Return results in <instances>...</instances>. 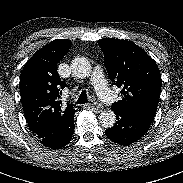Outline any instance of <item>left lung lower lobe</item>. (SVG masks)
<instances>
[{
  "label": "left lung lower lobe",
  "instance_id": "obj_1",
  "mask_svg": "<svg viewBox=\"0 0 183 183\" xmlns=\"http://www.w3.org/2000/svg\"><path fill=\"white\" fill-rule=\"evenodd\" d=\"M116 124L105 130L106 136L114 143L129 145L142 138L150 127L151 122L123 111H114Z\"/></svg>",
  "mask_w": 183,
  "mask_h": 183
}]
</instances>
